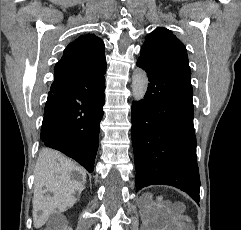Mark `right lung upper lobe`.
Wrapping results in <instances>:
<instances>
[{"mask_svg":"<svg viewBox=\"0 0 241 230\" xmlns=\"http://www.w3.org/2000/svg\"><path fill=\"white\" fill-rule=\"evenodd\" d=\"M69 69L82 72H106L103 41L93 34L80 36L64 50L61 60Z\"/></svg>","mask_w":241,"mask_h":230,"instance_id":"obj_1","label":"right lung upper lobe"}]
</instances>
